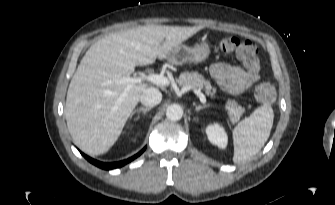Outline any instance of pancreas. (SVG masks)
<instances>
[{"label": "pancreas", "mask_w": 335, "mask_h": 205, "mask_svg": "<svg viewBox=\"0 0 335 205\" xmlns=\"http://www.w3.org/2000/svg\"><path fill=\"white\" fill-rule=\"evenodd\" d=\"M177 82L183 87L198 88L199 90L204 89L206 94L211 97L214 96L216 91L210 81L205 80L198 72H183L180 74ZM225 108L231 123L238 122L244 112V109L235 100L231 99L226 102Z\"/></svg>", "instance_id": "obj_1"}]
</instances>
